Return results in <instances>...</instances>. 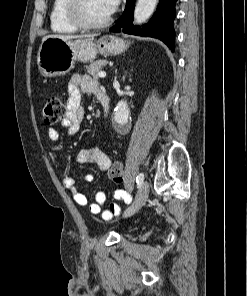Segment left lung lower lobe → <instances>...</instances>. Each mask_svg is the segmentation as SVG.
Segmentation results:
<instances>
[{"mask_svg":"<svg viewBox=\"0 0 247 296\" xmlns=\"http://www.w3.org/2000/svg\"><path fill=\"white\" fill-rule=\"evenodd\" d=\"M136 0H127L125 10L118 23L110 28L111 32H121L154 37L163 41L172 51L175 47L173 21L176 16L175 3L177 0H160L157 10L150 22L142 28L133 26V12Z\"/></svg>","mask_w":247,"mask_h":296,"instance_id":"1","label":"left lung lower lobe"}]
</instances>
